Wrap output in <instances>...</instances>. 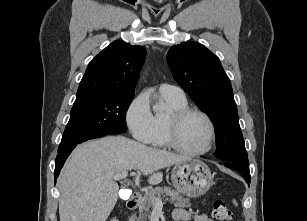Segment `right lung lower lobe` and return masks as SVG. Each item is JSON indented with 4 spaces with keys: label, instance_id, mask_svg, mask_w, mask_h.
I'll return each mask as SVG.
<instances>
[{
    "label": "right lung lower lobe",
    "instance_id": "98d812e1",
    "mask_svg": "<svg viewBox=\"0 0 307 221\" xmlns=\"http://www.w3.org/2000/svg\"><path fill=\"white\" fill-rule=\"evenodd\" d=\"M76 145H73V146L68 147L64 150L58 151V154H57V157H56V160H55V173H54L55 182H56L57 177L60 174V170L63 167L66 159L68 158V156L70 155L72 150L76 147Z\"/></svg>",
    "mask_w": 307,
    "mask_h": 221
}]
</instances>
